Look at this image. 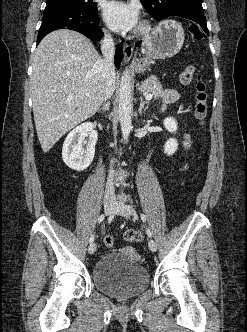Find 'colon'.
I'll use <instances>...</instances> for the list:
<instances>
[{"instance_id":"colon-1","label":"colon","mask_w":247,"mask_h":332,"mask_svg":"<svg viewBox=\"0 0 247 332\" xmlns=\"http://www.w3.org/2000/svg\"><path fill=\"white\" fill-rule=\"evenodd\" d=\"M189 33L195 42H201L206 38V33L197 25H190ZM193 74L194 71L191 67L186 68L181 74V82L183 84H189L193 79ZM207 102H208L207 87L201 75H198L196 80V97L194 104V114L195 117L200 122H203L207 116V109H208ZM123 236L125 240L131 242H139L143 239L142 233L134 229L126 230ZM104 241L106 246L108 247H113L115 244V240L112 236H106Z\"/></svg>"}]
</instances>
